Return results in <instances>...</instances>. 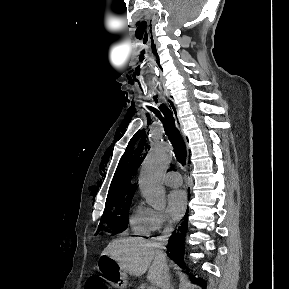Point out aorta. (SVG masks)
Listing matches in <instances>:
<instances>
[{
  "instance_id": "aorta-1",
  "label": "aorta",
  "mask_w": 289,
  "mask_h": 289,
  "mask_svg": "<svg viewBox=\"0 0 289 289\" xmlns=\"http://www.w3.org/2000/svg\"><path fill=\"white\" fill-rule=\"evenodd\" d=\"M171 159L170 146L163 140H156L142 163L139 188L146 202L154 208L165 206V190L161 178Z\"/></svg>"
}]
</instances>
